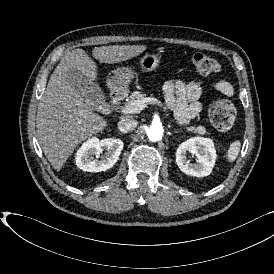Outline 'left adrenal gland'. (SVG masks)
<instances>
[{
  "label": "left adrenal gland",
  "mask_w": 274,
  "mask_h": 274,
  "mask_svg": "<svg viewBox=\"0 0 274 274\" xmlns=\"http://www.w3.org/2000/svg\"><path fill=\"white\" fill-rule=\"evenodd\" d=\"M173 133L177 134V133H179V130H174Z\"/></svg>",
  "instance_id": "obj_1"
}]
</instances>
